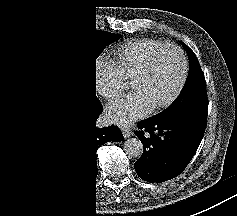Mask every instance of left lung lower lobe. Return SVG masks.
I'll use <instances>...</instances> for the list:
<instances>
[{
	"label": "left lung lower lobe",
	"instance_id": "obj_1",
	"mask_svg": "<svg viewBox=\"0 0 237 216\" xmlns=\"http://www.w3.org/2000/svg\"><path fill=\"white\" fill-rule=\"evenodd\" d=\"M135 134L144 144L135 162L137 174L148 182H163L179 175L193 158L204 130L158 116L138 123Z\"/></svg>",
	"mask_w": 237,
	"mask_h": 216
}]
</instances>
